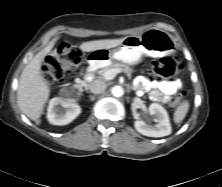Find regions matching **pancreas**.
I'll use <instances>...</instances> for the list:
<instances>
[{
    "mask_svg": "<svg viewBox=\"0 0 222 187\" xmlns=\"http://www.w3.org/2000/svg\"><path fill=\"white\" fill-rule=\"evenodd\" d=\"M111 69H119L122 72H125L127 74H130L132 72V68H130L127 65L121 64V63H110L109 65L103 67L101 70L98 71V73L103 76V74Z\"/></svg>",
    "mask_w": 222,
    "mask_h": 187,
    "instance_id": "obj_1",
    "label": "pancreas"
}]
</instances>
